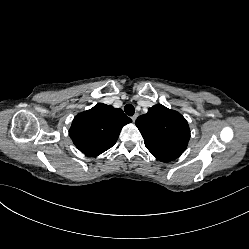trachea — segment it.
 <instances>
[{
    "label": "trachea",
    "mask_w": 249,
    "mask_h": 249,
    "mask_svg": "<svg viewBox=\"0 0 249 249\" xmlns=\"http://www.w3.org/2000/svg\"><path fill=\"white\" fill-rule=\"evenodd\" d=\"M124 111H125V113H126L128 116H133L134 113H135V108H134L133 105L127 104V105H125V107H124Z\"/></svg>",
    "instance_id": "trachea-1"
}]
</instances>
